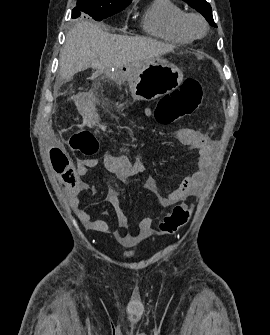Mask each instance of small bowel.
Instances as JSON below:
<instances>
[{
    "instance_id": "obj_1",
    "label": "small bowel",
    "mask_w": 270,
    "mask_h": 335,
    "mask_svg": "<svg viewBox=\"0 0 270 335\" xmlns=\"http://www.w3.org/2000/svg\"><path fill=\"white\" fill-rule=\"evenodd\" d=\"M189 144L199 153L198 170L187 175L177 189L167 195H162L154 178L149 177L145 180V187L159 198L163 207H170L187 200L200 189L207 177L214 142L208 136L195 132L191 135ZM47 150L49 154L45 155V160L49 161L50 165H56L53 166V173H57V178H63L67 185L70 205L77 218L88 230L114 235L119 234V231H111L110 225L105 220L93 219L90 213L80 206L79 195L89 187L82 180V177L87 174L90 168L97 165L98 160L91 158L77 161V158H73V154H64L59 144H48ZM103 159L106 168L120 180L128 179L146 171V166L142 161L132 162L123 154H105ZM106 200L115 213L118 229L122 232L127 230L129 221L121 205L120 193L110 188L107 192ZM152 225L153 219L145 217L139 222L138 229L141 233H146L151 229Z\"/></svg>"
}]
</instances>
